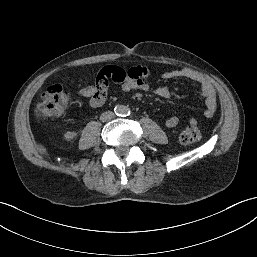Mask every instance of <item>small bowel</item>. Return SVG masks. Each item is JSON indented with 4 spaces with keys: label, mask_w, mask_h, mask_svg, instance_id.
Returning <instances> with one entry per match:
<instances>
[{
    "label": "small bowel",
    "mask_w": 257,
    "mask_h": 257,
    "mask_svg": "<svg viewBox=\"0 0 257 257\" xmlns=\"http://www.w3.org/2000/svg\"><path fill=\"white\" fill-rule=\"evenodd\" d=\"M103 76L108 81L112 80L117 83L121 90L128 92L131 90L152 91L155 95L161 98H169L171 96L170 89L166 86L152 87L148 81L149 71L142 66H132L124 69L116 65H108L99 71L97 76ZM164 79H186L198 85L201 95L205 102L204 115L207 118H212L217 109V95L210 81L201 73L187 68L174 69L165 71L162 75ZM108 86L101 90L96 84L87 85L77 90V94L89 98V106L98 108L102 106L107 98ZM189 123L196 125L197 120L190 118ZM165 124L169 128H174L179 124V118L175 115H170L165 119Z\"/></svg>",
    "instance_id": "c3829d8e"
}]
</instances>
